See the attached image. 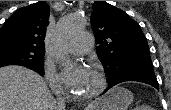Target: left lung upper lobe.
Masks as SVG:
<instances>
[{
  "instance_id": "5c2ea615",
  "label": "left lung upper lobe",
  "mask_w": 171,
  "mask_h": 110,
  "mask_svg": "<svg viewBox=\"0 0 171 110\" xmlns=\"http://www.w3.org/2000/svg\"><path fill=\"white\" fill-rule=\"evenodd\" d=\"M91 25L108 84L131 75L155 76L147 40L139 24L106 1L93 3Z\"/></svg>"
}]
</instances>
